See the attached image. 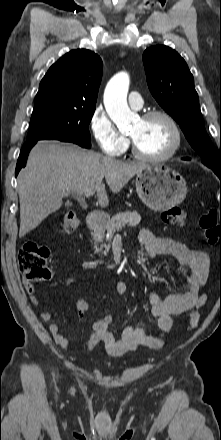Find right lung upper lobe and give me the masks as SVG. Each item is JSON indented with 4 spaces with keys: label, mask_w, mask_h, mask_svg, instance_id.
Segmentation results:
<instances>
[{
    "label": "right lung upper lobe",
    "mask_w": 221,
    "mask_h": 440,
    "mask_svg": "<svg viewBox=\"0 0 221 440\" xmlns=\"http://www.w3.org/2000/svg\"><path fill=\"white\" fill-rule=\"evenodd\" d=\"M102 60L94 52L76 49L54 63L40 82L35 103H62L96 106L102 78Z\"/></svg>",
    "instance_id": "1"
}]
</instances>
